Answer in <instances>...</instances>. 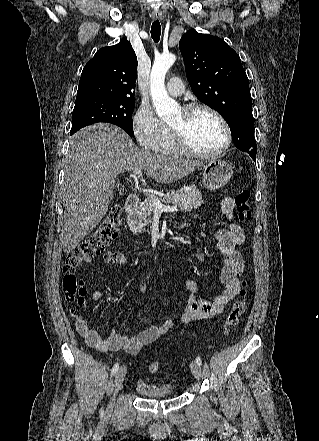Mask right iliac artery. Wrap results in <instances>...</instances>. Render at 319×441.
<instances>
[{
	"mask_svg": "<svg viewBox=\"0 0 319 441\" xmlns=\"http://www.w3.org/2000/svg\"><path fill=\"white\" fill-rule=\"evenodd\" d=\"M118 368H119V364L115 363L112 367L111 375L115 374L117 372Z\"/></svg>",
	"mask_w": 319,
	"mask_h": 441,
	"instance_id": "82829eb1",
	"label": "right iliac artery"
}]
</instances>
